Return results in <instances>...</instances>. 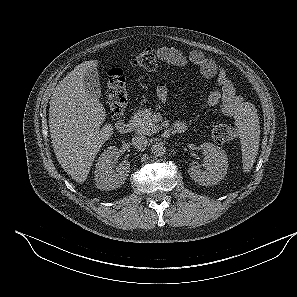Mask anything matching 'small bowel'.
Instances as JSON below:
<instances>
[{
    "instance_id": "1",
    "label": "small bowel",
    "mask_w": 297,
    "mask_h": 297,
    "mask_svg": "<svg viewBox=\"0 0 297 297\" xmlns=\"http://www.w3.org/2000/svg\"><path fill=\"white\" fill-rule=\"evenodd\" d=\"M156 51L158 57L167 64L177 67L192 65L200 71L204 78H216L219 89L213 91L208 96L203 104V108H210L220 104L221 111L226 116L237 118L241 114L244 107L243 99L236 94L226 70L213 59L206 57L202 52L197 50L184 53L171 46H161ZM157 96L160 101H167L168 88L166 84L160 83L158 85Z\"/></svg>"
}]
</instances>
